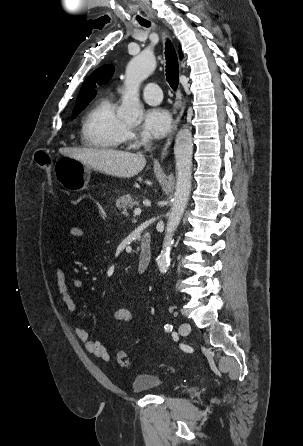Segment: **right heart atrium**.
<instances>
[{"label":"right heart atrium","instance_id":"obj_1","mask_svg":"<svg viewBox=\"0 0 303 446\" xmlns=\"http://www.w3.org/2000/svg\"><path fill=\"white\" fill-rule=\"evenodd\" d=\"M125 139L129 141H136L138 139L136 133L130 127H126L125 129Z\"/></svg>","mask_w":303,"mask_h":446}]
</instances>
